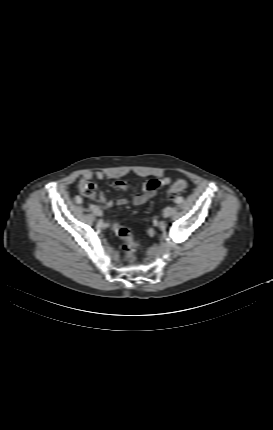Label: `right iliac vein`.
<instances>
[{"mask_svg": "<svg viewBox=\"0 0 273 430\" xmlns=\"http://www.w3.org/2000/svg\"><path fill=\"white\" fill-rule=\"evenodd\" d=\"M90 208L96 216H102V211L98 206L92 205Z\"/></svg>", "mask_w": 273, "mask_h": 430, "instance_id": "1", "label": "right iliac vein"}]
</instances>
